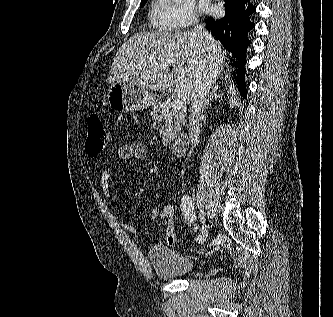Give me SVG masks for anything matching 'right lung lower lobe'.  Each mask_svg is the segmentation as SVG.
Wrapping results in <instances>:
<instances>
[{
	"label": "right lung lower lobe",
	"instance_id": "98d812e1",
	"mask_svg": "<svg viewBox=\"0 0 333 317\" xmlns=\"http://www.w3.org/2000/svg\"><path fill=\"white\" fill-rule=\"evenodd\" d=\"M247 2L248 0H225V16L220 19L208 17L206 21V28L235 56L231 64L236 71L233 74V80L243 97H246L244 78L246 49L250 45L247 33L255 26L248 16L256 10L252 4H249L245 10Z\"/></svg>",
	"mask_w": 333,
	"mask_h": 317
}]
</instances>
